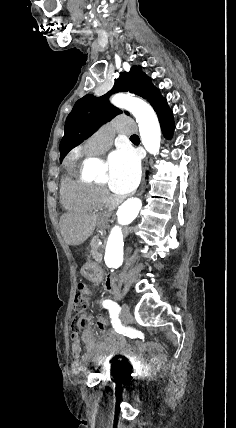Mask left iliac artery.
Instances as JSON below:
<instances>
[{
    "label": "left iliac artery",
    "mask_w": 236,
    "mask_h": 428,
    "mask_svg": "<svg viewBox=\"0 0 236 428\" xmlns=\"http://www.w3.org/2000/svg\"><path fill=\"white\" fill-rule=\"evenodd\" d=\"M102 304H103V307L106 308V309H111V308H113L114 306L117 305V303H115V302H113L111 300H105V301H103Z\"/></svg>",
    "instance_id": "obj_1"
}]
</instances>
